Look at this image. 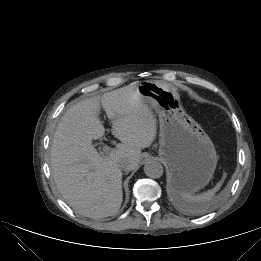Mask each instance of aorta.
<instances>
[{"label":"aorta","mask_w":261,"mask_h":261,"mask_svg":"<svg viewBox=\"0 0 261 261\" xmlns=\"http://www.w3.org/2000/svg\"><path fill=\"white\" fill-rule=\"evenodd\" d=\"M144 172L148 177L156 179L163 175L164 170L161 163L151 160L144 165Z\"/></svg>","instance_id":"1"}]
</instances>
